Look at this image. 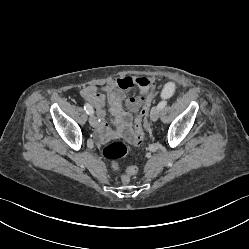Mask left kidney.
Here are the masks:
<instances>
[{
    "mask_svg": "<svg viewBox=\"0 0 249 249\" xmlns=\"http://www.w3.org/2000/svg\"><path fill=\"white\" fill-rule=\"evenodd\" d=\"M177 85L172 80H167L163 83L162 87L157 90V97L165 104H172L175 101V93Z\"/></svg>",
    "mask_w": 249,
    "mask_h": 249,
    "instance_id": "obj_1",
    "label": "left kidney"
}]
</instances>
